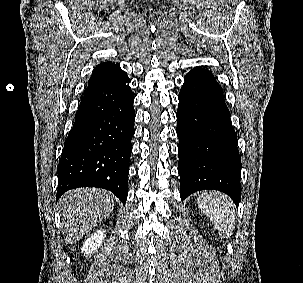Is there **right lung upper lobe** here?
I'll return each mask as SVG.
<instances>
[{
	"mask_svg": "<svg viewBox=\"0 0 303 283\" xmlns=\"http://www.w3.org/2000/svg\"><path fill=\"white\" fill-rule=\"evenodd\" d=\"M124 73L118 63L103 62L95 67L88 82V87L112 79Z\"/></svg>",
	"mask_w": 303,
	"mask_h": 283,
	"instance_id": "obj_1",
	"label": "right lung upper lobe"
}]
</instances>
